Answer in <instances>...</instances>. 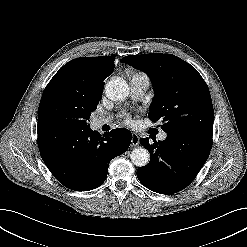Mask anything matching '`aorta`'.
<instances>
[{"label": "aorta", "mask_w": 247, "mask_h": 247, "mask_svg": "<svg viewBox=\"0 0 247 247\" xmlns=\"http://www.w3.org/2000/svg\"><path fill=\"white\" fill-rule=\"evenodd\" d=\"M105 94L112 101L124 100L129 95V87L123 79L112 78L105 86ZM130 157L132 163L138 167L146 166L150 160L148 150L143 147L135 148Z\"/></svg>", "instance_id": "aorta-1"}]
</instances>
